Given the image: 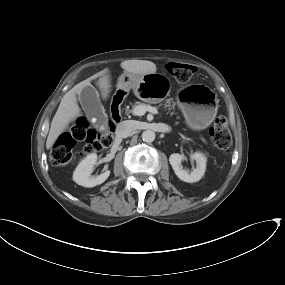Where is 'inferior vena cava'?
Listing matches in <instances>:
<instances>
[{"mask_svg": "<svg viewBox=\"0 0 285 285\" xmlns=\"http://www.w3.org/2000/svg\"><path fill=\"white\" fill-rule=\"evenodd\" d=\"M135 130V127L133 126L131 121H123L120 122L116 127V136L120 138H126L128 136H131Z\"/></svg>", "mask_w": 285, "mask_h": 285, "instance_id": "602c4592", "label": "inferior vena cava"}]
</instances>
